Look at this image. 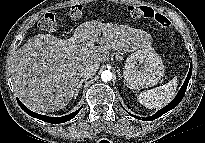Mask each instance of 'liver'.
<instances>
[{
    "mask_svg": "<svg viewBox=\"0 0 205 143\" xmlns=\"http://www.w3.org/2000/svg\"><path fill=\"white\" fill-rule=\"evenodd\" d=\"M151 44V35L141 29L98 20L79 25L69 39L35 35L11 60L14 90L33 111L63 109L74 97L87 64L108 61L111 49L133 52Z\"/></svg>",
    "mask_w": 205,
    "mask_h": 143,
    "instance_id": "6515ba94",
    "label": "liver"
}]
</instances>
